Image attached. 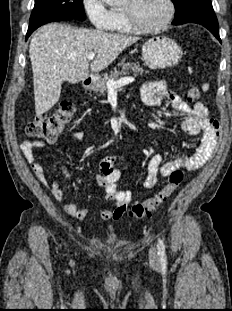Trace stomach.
<instances>
[{"instance_id":"stomach-1","label":"stomach","mask_w":232,"mask_h":311,"mask_svg":"<svg viewBox=\"0 0 232 311\" xmlns=\"http://www.w3.org/2000/svg\"><path fill=\"white\" fill-rule=\"evenodd\" d=\"M143 59L147 66L163 69L176 65L182 57V50L171 38L154 37L145 42L142 47ZM100 78H93L90 83L92 91H98Z\"/></svg>"}]
</instances>
